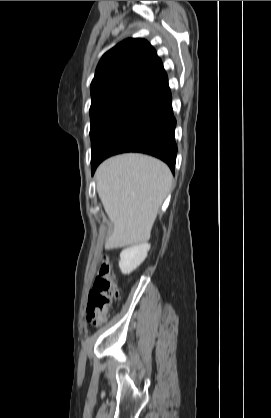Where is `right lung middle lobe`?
<instances>
[{"label": "right lung middle lobe", "mask_w": 271, "mask_h": 418, "mask_svg": "<svg viewBox=\"0 0 271 418\" xmlns=\"http://www.w3.org/2000/svg\"><path fill=\"white\" fill-rule=\"evenodd\" d=\"M151 105L150 102L132 97H119L91 105V162L124 126Z\"/></svg>", "instance_id": "1"}]
</instances>
